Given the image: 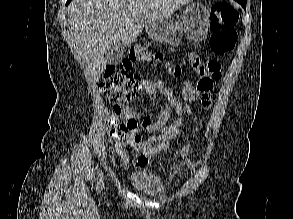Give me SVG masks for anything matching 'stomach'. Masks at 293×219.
Here are the masks:
<instances>
[{"label": "stomach", "instance_id": "obj_1", "mask_svg": "<svg viewBox=\"0 0 293 219\" xmlns=\"http://www.w3.org/2000/svg\"><path fill=\"white\" fill-rule=\"evenodd\" d=\"M210 23L208 9L201 3H191L183 12V21L176 16H168L146 28L150 39L178 46L186 34L194 43L203 41Z\"/></svg>", "mask_w": 293, "mask_h": 219}]
</instances>
